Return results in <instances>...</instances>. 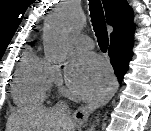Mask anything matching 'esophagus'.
Returning a JSON list of instances; mask_svg holds the SVG:
<instances>
[{"label":"esophagus","instance_id":"obj_1","mask_svg":"<svg viewBox=\"0 0 151 131\" xmlns=\"http://www.w3.org/2000/svg\"><path fill=\"white\" fill-rule=\"evenodd\" d=\"M118 87V81L114 77L105 92L92 101L90 104L78 108L74 113V118L78 123H84L87 121L89 115L97 108L107 104L114 96Z\"/></svg>","mask_w":151,"mask_h":131}]
</instances>
